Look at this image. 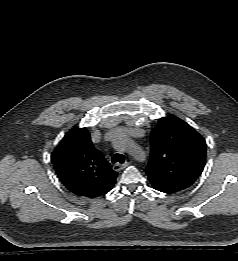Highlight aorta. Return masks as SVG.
Instances as JSON below:
<instances>
[{
    "label": "aorta",
    "instance_id": "762f6f07",
    "mask_svg": "<svg viewBox=\"0 0 238 261\" xmlns=\"http://www.w3.org/2000/svg\"><path fill=\"white\" fill-rule=\"evenodd\" d=\"M124 142V150L132 155H137L140 152V149L137 147L128 146V140L126 138H122Z\"/></svg>",
    "mask_w": 238,
    "mask_h": 261
}]
</instances>
